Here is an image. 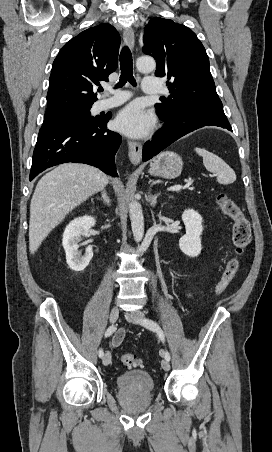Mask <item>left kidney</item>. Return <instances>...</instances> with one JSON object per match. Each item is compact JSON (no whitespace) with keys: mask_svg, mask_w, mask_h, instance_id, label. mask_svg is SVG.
<instances>
[{"mask_svg":"<svg viewBox=\"0 0 272 452\" xmlns=\"http://www.w3.org/2000/svg\"><path fill=\"white\" fill-rule=\"evenodd\" d=\"M186 234L179 240L180 250L189 257H197L201 253V234L203 231L202 217L193 209H187L182 214Z\"/></svg>","mask_w":272,"mask_h":452,"instance_id":"5707ae66","label":"left kidney"}]
</instances>
